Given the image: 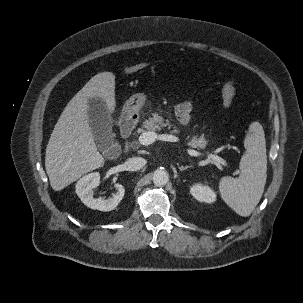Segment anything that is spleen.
<instances>
[{"label":"spleen","mask_w":303,"mask_h":303,"mask_svg":"<svg viewBox=\"0 0 303 303\" xmlns=\"http://www.w3.org/2000/svg\"><path fill=\"white\" fill-rule=\"evenodd\" d=\"M244 147L247 152L240 160V176L221 178L219 191L229 207L238 215L247 217L259 203L267 179L265 133L259 122L250 124Z\"/></svg>","instance_id":"obj_1"}]
</instances>
